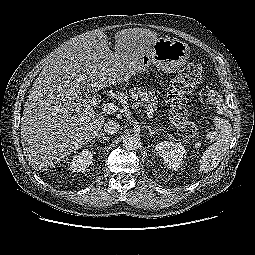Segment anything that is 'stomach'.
<instances>
[{
	"mask_svg": "<svg viewBox=\"0 0 255 255\" xmlns=\"http://www.w3.org/2000/svg\"><path fill=\"white\" fill-rule=\"evenodd\" d=\"M189 57L188 44L170 37H159L152 45V53L141 56L138 72L145 71L151 63L163 72H175L186 64Z\"/></svg>",
	"mask_w": 255,
	"mask_h": 255,
	"instance_id": "1",
	"label": "stomach"
}]
</instances>
